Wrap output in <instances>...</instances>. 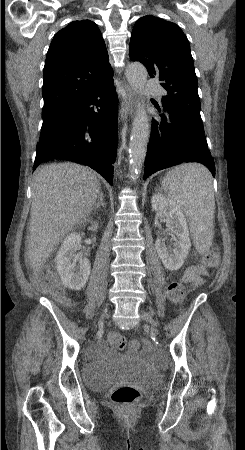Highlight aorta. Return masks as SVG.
Segmentation results:
<instances>
[{
  "instance_id": "1",
  "label": "aorta",
  "mask_w": 245,
  "mask_h": 450,
  "mask_svg": "<svg viewBox=\"0 0 245 450\" xmlns=\"http://www.w3.org/2000/svg\"><path fill=\"white\" fill-rule=\"evenodd\" d=\"M147 76L148 73L143 64L137 62L128 64L126 68V77L138 95H143ZM149 136V119L144 105L139 103L137 105L129 143L130 178L132 180H136L141 172L147 153Z\"/></svg>"
}]
</instances>
